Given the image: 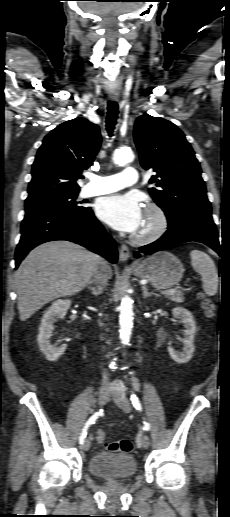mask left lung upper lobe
Segmentation results:
<instances>
[{"label": "left lung upper lobe", "instance_id": "1", "mask_svg": "<svg viewBox=\"0 0 230 517\" xmlns=\"http://www.w3.org/2000/svg\"><path fill=\"white\" fill-rule=\"evenodd\" d=\"M134 140L142 167L157 173L149 181L157 188H150L149 193L165 212L168 224L190 215L211 214L199 162L175 124L144 114L136 120Z\"/></svg>", "mask_w": 230, "mask_h": 517}]
</instances>
